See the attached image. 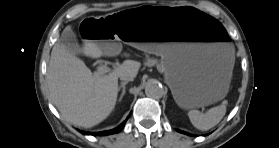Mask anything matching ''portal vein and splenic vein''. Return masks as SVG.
Instances as JSON below:
<instances>
[{"mask_svg":"<svg viewBox=\"0 0 279 148\" xmlns=\"http://www.w3.org/2000/svg\"><path fill=\"white\" fill-rule=\"evenodd\" d=\"M110 70H111V69H110L106 64L100 65V66H98V68H97V71H98V73H99L100 75L105 74V73H108V72H110ZM201 111L204 112V111H205V108H202Z\"/></svg>","mask_w":279,"mask_h":148,"instance_id":"1","label":"portal vein and splenic vein"}]
</instances>
